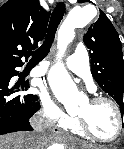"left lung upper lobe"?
<instances>
[{"mask_svg":"<svg viewBox=\"0 0 124 149\" xmlns=\"http://www.w3.org/2000/svg\"><path fill=\"white\" fill-rule=\"evenodd\" d=\"M84 43L90 51L94 79L113 97L123 114L124 60L121 41L103 11L100 10L99 19L89 27L84 36Z\"/></svg>","mask_w":124,"mask_h":149,"instance_id":"obj_1","label":"left lung upper lobe"}]
</instances>
